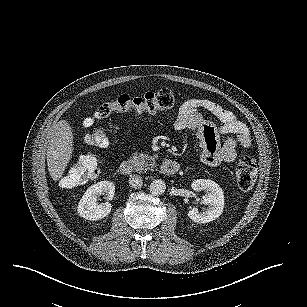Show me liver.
<instances>
[{
    "instance_id": "obj_1",
    "label": "liver",
    "mask_w": 307,
    "mask_h": 307,
    "mask_svg": "<svg viewBox=\"0 0 307 307\" xmlns=\"http://www.w3.org/2000/svg\"><path fill=\"white\" fill-rule=\"evenodd\" d=\"M73 150L72 128L66 120H60L52 130L46 154L49 175L54 181L63 176Z\"/></svg>"
}]
</instances>
